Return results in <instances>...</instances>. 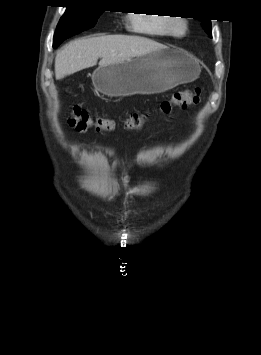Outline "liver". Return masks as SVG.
<instances>
[{
  "instance_id": "6515ba94",
  "label": "liver",
  "mask_w": 261,
  "mask_h": 355,
  "mask_svg": "<svg viewBox=\"0 0 261 355\" xmlns=\"http://www.w3.org/2000/svg\"><path fill=\"white\" fill-rule=\"evenodd\" d=\"M164 45L151 39L129 35H107L81 38L71 41L55 59V76L66 75L99 65L119 63L140 56Z\"/></svg>"
}]
</instances>
